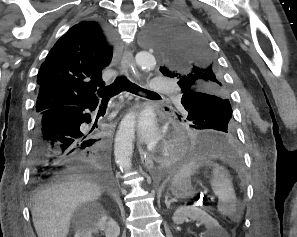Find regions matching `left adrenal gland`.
Returning <instances> with one entry per match:
<instances>
[{"mask_svg": "<svg viewBox=\"0 0 297 237\" xmlns=\"http://www.w3.org/2000/svg\"><path fill=\"white\" fill-rule=\"evenodd\" d=\"M169 193H167V195L165 196V204H166V207L169 209L170 208V205L173 203V202H176L175 199H171L168 201V197H169Z\"/></svg>", "mask_w": 297, "mask_h": 237, "instance_id": "obj_1", "label": "left adrenal gland"}]
</instances>
